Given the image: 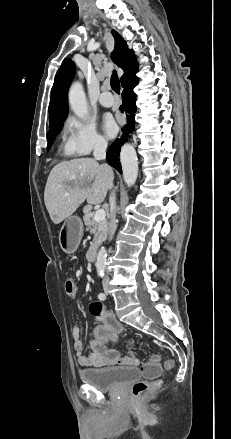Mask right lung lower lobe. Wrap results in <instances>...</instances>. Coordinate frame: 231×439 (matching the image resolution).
<instances>
[{
    "label": "right lung lower lobe",
    "mask_w": 231,
    "mask_h": 439,
    "mask_svg": "<svg viewBox=\"0 0 231 439\" xmlns=\"http://www.w3.org/2000/svg\"><path fill=\"white\" fill-rule=\"evenodd\" d=\"M138 78L132 79L128 81L126 84L122 85L124 88L122 92V102L123 104L120 107V110H125L129 112L130 115L127 116L128 125L122 129L123 135L120 139H117L108 149L106 159L108 164L118 170L119 173H122L121 164L119 162V152L121 146L127 141V137L129 133L134 130V114L136 112L135 99L136 95L133 92V88L137 85Z\"/></svg>",
    "instance_id": "1"
}]
</instances>
